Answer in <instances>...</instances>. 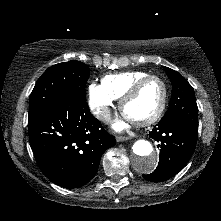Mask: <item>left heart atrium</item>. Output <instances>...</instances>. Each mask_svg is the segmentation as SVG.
<instances>
[{"mask_svg": "<svg viewBox=\"0 0 221 221\" xmlns=\"http://www.w3.org/2000/svg\"><path fill=\"white\" fill-rule=\"evenodd\" d=\"M125 126H126V124L123 123V122H122V123H115V124H114V129L120 131V130H122Z\"/></svg>", "mask_w": 221, "mask_h": 221, "instance_id": "1", "label": "left heart atrium"}]
</instances>
